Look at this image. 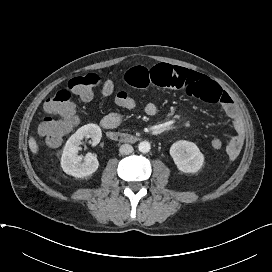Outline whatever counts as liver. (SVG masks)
<instances>
[{
    "label": "liver",
    "instance_id": "1",
    "mask_svg": "<svg viewBox=\"0 0 272 272\" xmlns=\"http://www.w3.org/2000/svg\"><path fill=\"white\" fill-rule=\"evenodd\" d=\"M28 143H29V148H30L31 152H32L34 155H36V154L38 153L39 146H38V144H37L35 138L31 136V137L29 138V142H28Z\"/></svg>",
    "mask_w": 272,
    "mask_h": 272
}]
</instances>
